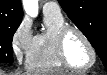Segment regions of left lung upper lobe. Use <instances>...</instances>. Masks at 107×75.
Returning <instances> with one entry per match:
<instances>
[{
	"instance_id": "obj_1",
	"label": "left lung upper lobe",
	"mask_w": 107,
	"mask_h": 75,
	"mask_svg": "<svg viewBox=\"0 0 107 75\" xmlns=\"http://www.w3.org/2000/svg\"><path fill=\"white\" fill-rule=\"evenodd\" d=\"M107 68V0H58Z\"/></svg>"
}]
</instances>
